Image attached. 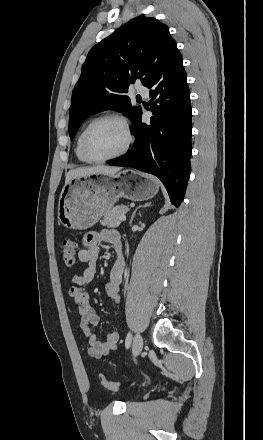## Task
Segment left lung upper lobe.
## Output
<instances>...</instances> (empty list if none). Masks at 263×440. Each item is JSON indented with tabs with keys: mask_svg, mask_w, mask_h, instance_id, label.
Instances as JSON below:
<instances>
[{
	"mask_svg": "<svg viewBox=\"0 0 263 440\" xmlns=\"http://www.w3.org/2000/svg\"><path fill=\"white\" fill-rule=\"evenodd\" d=\"M168 27L139 16L96 44L88 53L72 93L69 135L73 139L90 115L111 109L132 121L142 112L125 94L140 79L147 86L177 51Z\"/></svg>",
	"mask_w": 263,
	"mask_h": 440,
	"instance_id": "5c2ea615",
	"label": "left lung upper lobe"
}]
</instances>
